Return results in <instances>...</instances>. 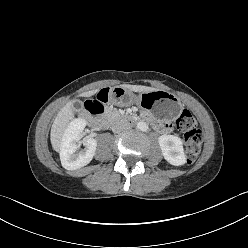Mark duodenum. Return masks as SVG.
Listing matches in <instances>:
<instances>
[{"instance_id":"1","label":"duodenum","mask_w":248,"mask_h":248,"mask_svg":"<svg viewBox=\"0 0 248 248\" xmlns=\"http://www.w3.org/2000/svg\"><path fill=\"white\" fill-rule=\"evenodd\" d=\"M114 94V89L112 87H106L102 90L100 95H97L94 100H90L85 106V113L91 119L93 126L96 128H104L108 124L107 118L103 115L101 106L106 102V100ZM122 121L127 124H133L135 119L130 116L122 117ZM156 127V124L154 125Z\"/></svg>"}]
</instances>
